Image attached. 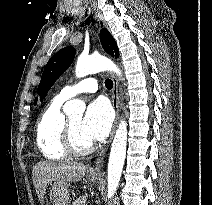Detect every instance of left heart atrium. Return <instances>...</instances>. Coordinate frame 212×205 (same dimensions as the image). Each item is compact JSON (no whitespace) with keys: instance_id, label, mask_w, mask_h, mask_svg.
<instances>
[{"instance_id":"obj_1","label":"left heart atrium","mask_w":212,"mask_h":205,"mask_svg":"<svg viewBox=\"0 0 212 205\" xmlns=\"http://www.w3.org/2000/svg\"><path fill=\"white\" fill-rule=\"evenodd\" d=\"M113 113L109 104L104 100L92 102L82 120V133L93 142L104 139L112 126Z\"/></svg>"}]
</instances>
